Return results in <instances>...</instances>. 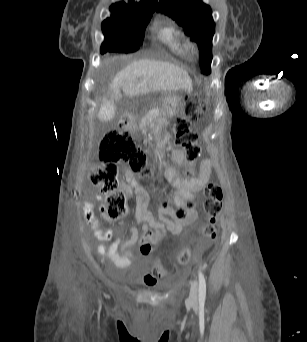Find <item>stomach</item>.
I'll list each match as a JSON object with an SVG mask.
<instances>
[{
    "label": "stomach",
    "mask_w": 307,
    "mask_h": 342,
    "mask_svg": "<svg viewBox=\"0 0 307 342\" xmlns=\"http://www.w3.org/2000/svg\"><path fill=\"white\" fill-rule=\"evenodd\" d=\"M183 105V98L180 95L167 97L162 103V114L165 117L175 116Z\"/></svg>",
    "instance_id": "stomach-1"
}]
</instances>
